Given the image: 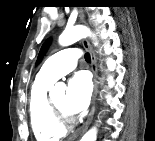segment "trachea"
<instances>
[{
	"instance_id": "1",
	"label": "trachea",
	"mask_w": 155,
	"mask_h": 141,
	"mask_svg": "<svg viewBox=\"0 0 155 141\" xmlns=\"http://www.w3.org/2000/svg\"><path fill=\"white\" fill-rule=\"evenodd\" d=\"M84 57L87 62H91V57L89 53H86Z\"/></svg>"
}]
</instances>
